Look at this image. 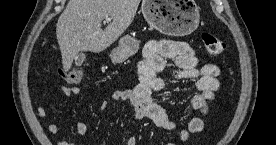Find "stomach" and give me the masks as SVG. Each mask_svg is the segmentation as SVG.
<instances>
[{
	"label": "stomach",
	"mask_w": 276,
	"mask_h": 145,
	"mask_svg": "<svg viewBox=\"0 0 276 145\" xmlns=\"http://www.w3.org/2000/svg\"><path fill=\"white\" fill-rule=\"evenodd\" d=\"M141 10L151 27L169 36L189 35L199 25V8L194 0H143ZM138 49L139 41L125 35L110 58L114 63H121Z\"/></svg>",
	"instance_id": "0dacf381"
}]
</instances>
